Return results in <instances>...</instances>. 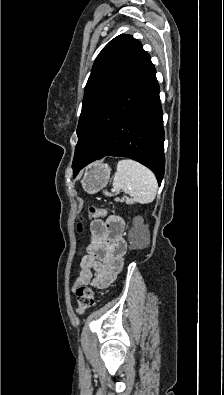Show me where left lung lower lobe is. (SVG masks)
Returning a JSON list of instances; mask_svg holds the SVG:
<instances>
[{
	"instance_id": "0a47b994",
	"label": "left lung lower lobe",
	"mask_w": 224,
	"mask_h": 395,
	"mask_svg": "<svg viewBox=\"0 0 224 395\" xmlns=\"http://www.w3.org/2000/svg\"><path fill=\"white\" fill-rule=\"evenodd\" d=\"M154 65L149 59L99 115L73 176L105 156L134 159L151 169L160 185L165 168L163 113Z\"/></svg>"
}]
</instances>
